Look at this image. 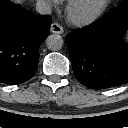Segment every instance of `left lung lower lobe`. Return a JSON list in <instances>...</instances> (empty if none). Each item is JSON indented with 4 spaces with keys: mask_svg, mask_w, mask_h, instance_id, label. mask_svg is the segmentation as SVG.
Here are the masks:
<instances>
[{
    "mask_svg": "<svg viewBox=\"0 0 128 128\" xmlns=\"http://www.w3.org/2000/svg\"><path fill=\"white\" fill-rule=\"evenodd\" d=\"M128 4L66 36L75 77L88 88L104 89L128 82Z\"/></svg>",
    "mask_w": 128,
    "mask_h": 128,
    "instance_id": "1",
    "label": "left lung lower lobe"
}]
</instances>
